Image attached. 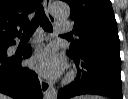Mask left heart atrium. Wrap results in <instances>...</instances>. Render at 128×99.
<instances>
[{"label": "left heart atrium", "instance_id": "39dd6f15", "mask_svg": "<svg viewBox=\"0 0 128 99\" xmlns=\"http://www.w3.org/2000/svg\"><path fill=\"white\" fill-rule=\"evenodd\" d=\"M31 67L47 78H57L64 70V58L52 47L39 50L31 59Z\"/></svg>", "mask_w": 128, "mask_h": 99}]
</instances>
